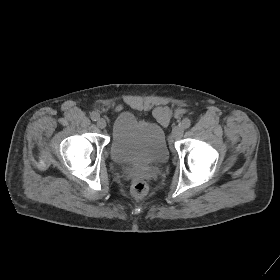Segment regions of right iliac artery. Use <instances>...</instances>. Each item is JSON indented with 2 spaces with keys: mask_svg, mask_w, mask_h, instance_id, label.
Listing matches in <instances>:
<instances>
[{
  "mask_svg": "<svg viewBox=\"0 0 280 280\" xmlns=\"http://www.w3.org/2000/svg\"><path fill=\"white\" fill-rule=\"evenodd\" d=\"M90 117H91V119H92L93 121H97V120L100 118V115H99V113H97V112H92V113L90 114Z\"/></svg>",
  "mask_w": 280,
  "mask_h": 280,
  "instance_id": "1",
  "label": "right iliac artery"
}]
</instances>
